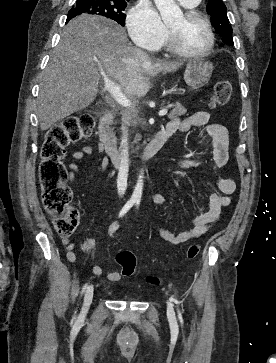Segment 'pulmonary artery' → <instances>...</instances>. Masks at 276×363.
<instances>
[{"instance_id":"1","label":"pulmonary artery","mask_w":276,"mask_h":363,"mask_svg":"<svg viewBox=\"0 0 276 363\" xmlns=\"http://www.w3.org/2000/svg\"><path fill=\"white\" fill-rule=\"evenodd\" d=\"M179 3L186 7V8H192V7H195L197 6L199 0H178Z\"/></svg>"}]
</instances>
